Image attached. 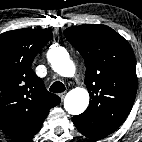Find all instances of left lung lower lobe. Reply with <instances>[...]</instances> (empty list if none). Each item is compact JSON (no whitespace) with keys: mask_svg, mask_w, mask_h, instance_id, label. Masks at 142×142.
<instances>
[{"mask_svg":"<svg viewBox=\"0 0 142 142\" xmlns=\"http://www.w3.org/2000/svg\"><path fill=\"white\" fill-rule=\"evenodd\" d=\"M76 128L78 129V131L83 134L84 136H86L87 138L91 139V140H99L101 138L97 137L95 134L89 132L88 130H86L84 128V126L80 125L79 123L73 121Z\"/></svg>","mask_w":142,"mask_h":142,"instance_id":"0a47b994","label":"left lung lower lobe"}]
</instances>
